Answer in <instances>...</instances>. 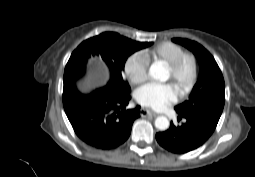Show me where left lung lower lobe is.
<instances>
[{
	"label": "left lung lower lobe",
	"instance_id": "0a47b994",
	"mask_svg": "<svg viewBox=\"0 0 255 177\" xmlns=\"http://www.w3.org/2000/svg\"><path fill=\"white\" fill-rule=\"evenodd\" d=\"M186 122L175 126L172 122L167 131L156 134L157 142L166 150L184 154L202 146L214 132L217 122L201 117L183 116Z\"/></svg>",
	"mask_w": 255,
	"mask_h": 177
}]
</instances>
